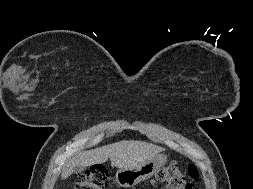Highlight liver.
Returning a JSON list of instances; mask_svg holds the SVG:
<instances>
[{"instance_id":"obj_1","label":"liver","mask_w":253,"mask_h":189,"mask_svg":"<svg viewBox=\"0 0 253 189\" xmlns=\"http://www.w3.org/2000/svg\"><path fill=\"white\" fill-rule=\"evenodd\" d=\"M162 151L163 148L151 143L122 140L89 151H83L73 156L66 163L61 178H68L73 173L75 166L88 167L94 164L104 163L108 159H110L113 167L120 169L135 168L154 158Z\"/></svg>"}]
</instances>
